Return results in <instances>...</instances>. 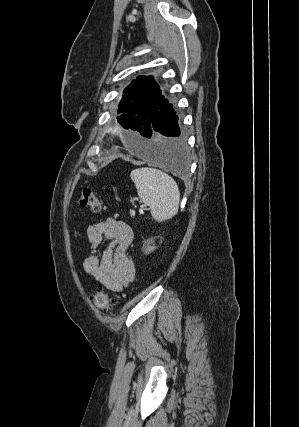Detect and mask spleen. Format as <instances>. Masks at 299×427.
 Here are the masks:
<instances>
[{
	"label": "spleen",
	"mask_w": 299,
	"mask_h": 427,
	"mask_svg": "<svg viewBox=\"0 0 299 427\" xmlns=\"http://www.w3.org/2000/svg\"><path fill=\"white\" fill-rule=\"evenodd\" d=\"M130 176L139 198L149 206L154 220L163 222L177 214L180 192L171 176L149 167L134 169Z\"/></svg>",
	"instance_id": "spleen-1"
}]
</instances>
